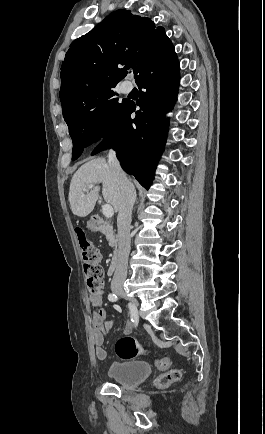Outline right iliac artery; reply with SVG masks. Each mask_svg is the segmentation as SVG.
Masks as SVG:
<instances>
[{
  "label": "right iliac artery",
  "mask_w": 265,
  "mask_h": 434,
  "mask_svg": "<svg viewBox=\"0 0 265 434\" xmlns=\"http://www.w3.org/2000/svg\"><path fill=\"white\" fill-rule=\"evenodd\" d=\"M108 300L111 302H116L118 300V296L114 293L113 294L110 293L108 295ZM129 308H130V313H131V320L134 322L135 320L138 319L137 308L135 306H133L131 303L129 304Z\"/></svg>",
  "instance_id": "obj_1"
}]
</instances>
